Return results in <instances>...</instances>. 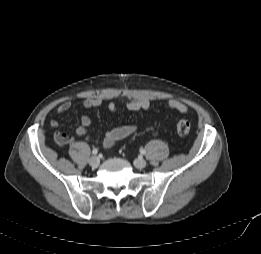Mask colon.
<instances>
[{
    "mask_svg": "<svg viewBox=\"0 0 261 254\" xmlns=\"http://www.w3.org/2000/svg\"><path fill=\"white\" fill-rule=\"evenodd\" d=\"M176 128H177V132L179 133V135L184 136V137L188 136L191 131L190 122L185 119L179 120L177 122Z\"/></svg>",
    "mask_w": 261,
    "mask_h": 254,
    "instance_id": "1",
    "label": "colon"
}]
</instances>
